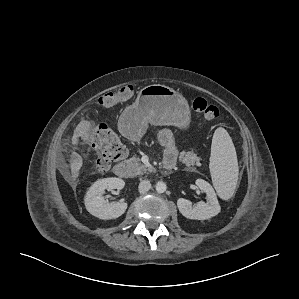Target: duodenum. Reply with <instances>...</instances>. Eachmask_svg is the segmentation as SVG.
<instances>
[{
	"label": "duodenum",
	"mask_w": 299,
	"mask_h": 299,
	"mask_svg": "<svg viewBox=\"0 0 299 299\" xmlns=\"http://www.w3.org/2000/svg\"><path fill=\"white\" fill-rule=\"evenodd\" d=\"M173 167L172 163H164V168L170 170ZM114 173L121 178H126L130 175V169L127 163L120 162L115 165Z\"/></svg>",
	"instance_id": "1"
}]
</instances>
